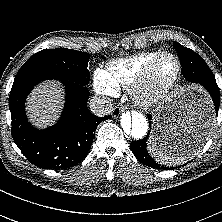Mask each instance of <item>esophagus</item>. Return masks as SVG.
Returning a JSON list of instances; mask_svg holds the SVG:
<instances>
[{"instance_id": "esophagus-1", "label": "esophagus", "mask_w": 222, "mask_h": 222, "mask_svg": "<svg viewBox=\"0 0 222 222\" xmlns=\"http://www.w3.org/2000/svg\"><path fill=\"white\" fill-rule=\"evenodd\" d=\"M125 110L124 106L118 105L116 106L113 111H112V115L114 117L118 116L121 112H123Z\"/></svg>"}]
</instances>
